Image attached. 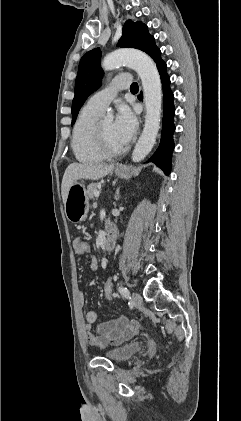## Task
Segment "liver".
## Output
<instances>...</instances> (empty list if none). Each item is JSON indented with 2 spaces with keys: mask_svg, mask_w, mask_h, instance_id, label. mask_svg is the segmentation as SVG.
<instances>
[{
  "mask_svg": "<svg viewBox=\"0 0 241 421\" xmlns=\"http://www.w3.org/2000/svg\"><path fill=\"white\" fill-rule=\"evenodd\" d=\"M114 169V165L110 164H88V163H71L66 168L62 184L61 195L63 203H65L69 188L79 179L98 180L105 177Z\"/></svg>",
  "mask_w": 241,
  "mask_h": 421,
  "instance_id": "obj_1",
  "label": "liver"
}]
</instances>
